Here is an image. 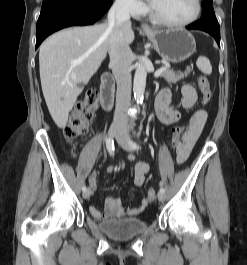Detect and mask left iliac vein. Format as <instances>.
Masks as SVG:
<instances>
[{"label":"left iliac vein","instance_id":"left-iliac-vein-1","mask_svg":"<svg viewBox=\"0 0 247 265\" xmlns=\"http://www.w3.org/2000/svg\"><path fill=\"white\" fill-rule=\"evenodd\" d=\"M118 144L127 151H132V147L129 144L128 138L125 136L124 132H120L117 136ZM159 201L163 202L165 200V194L163 192L158 193Z\"/></svg>","mask_w":247,"mask_h":265}]
</instances>
